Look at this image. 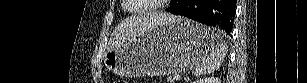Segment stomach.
Masks as SVG:
<instances>
[{
  "instance_id": "1",
  "label": "stomach",
  "mask_w": 307,
  "mask_h": 83,
  "mask_svg": "<svg viewBox=\"0 0 307 83\" xmlns=\"http://www.w3.org/2000/svg\"><path fill=\"white\" fill-rule=\"evenodd\" d=\"M210 27L174 16L144 34L112 46L105 66L124 77L162 76L195 66L209 52Z\"/></svg>"
}]
</instances>
